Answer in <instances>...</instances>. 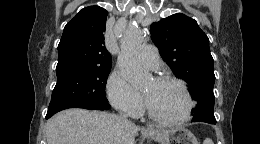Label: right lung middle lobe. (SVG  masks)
I'll return each instance as SVG.
<instances>
[{"instance_id":"dd1d6c3e","label":"right lung middle lobe","mask_w":260,"mask_h":144,"mask_svg":"<svg viewBox=\"0 0 260 144\" xmlns=\"http://www.w3.org/2000/svg\"><path fill=\"white\" fill-rule=\"evenodd\" d=\"M111 67L57 68V83L47 115L67 108H87L108 103L105 86Z\"/></svg>"}]
</instances>
